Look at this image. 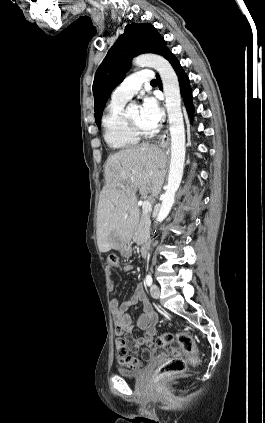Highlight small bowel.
Instances as JSON below:
<instances>
[{"label":"small bowel","instance_id":"small-bowel-1","mask_svg":"<svg viewBox=\"0 0 265 423\" xmlns=\"http://www.w3.org/2000/svg\"><path fill=\"white\" fill-rule=\"evenodd\" d=\"M123 269L126 271L131 270L130 265H124ZM108 275V287L111 291L114 290V282L111 276L110 271ZM141 303L143 307V313L138 319L137 326L143 331L141 336L133 337V325L130 315L127 313V310ZM113 319L116 331L118 334H124L125 340L118 339L116 344L117 346L124 342L128 351L131 353L141 352L143 358H150L154 352V336L156 333V324L158 321V315L152 308L149 299L144 293L143 289L138 287L134 294L119 303L116 298L111 300ZM122 362V360H120ZM123 363V362H122Z\"/></svg>","mask_w":265,"mask_h":423}]
</instances>
